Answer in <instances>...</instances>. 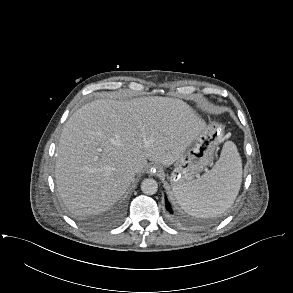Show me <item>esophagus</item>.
<instances>
[{"label": "esophagus", "mask_w": 293, "mask_h": 293, "mask_svg": "<svg viewBox=\"0 0 293 293\" xmlns=\"http://www.w3.org/2000/svg\"><path fill=\"white\" fill-rule=\"evenodd\" d=\"M160 170H161L160 167L157 166V165H154V166L151 167V172L154 173V174L159 173Z\"/></svg>", "instance_id": "34e87169"}]
</instances>
